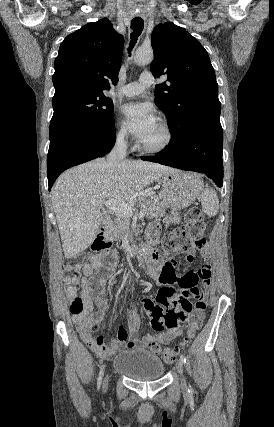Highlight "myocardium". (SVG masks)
<instances>
[{
    "instance_id": "1",
    "label": "myocardium",
    "mask_w": 274,
    "mask_h": 427,
    "mask_svg": "<svg viewBox=\"0 0 274 427\" xmlns=\"http://www.w3.org/2000/svg\"><path fill=\"white\" fill-rule=\"evenodd\" d=\"M157 121L162 125L166 132L165 142L156 148L143 145L140 141L137 144L138 150L149 156H157L165 153L172 146L175 140V132L170 122L163 117H157Z\"/></svg>"
}]
</instances>
